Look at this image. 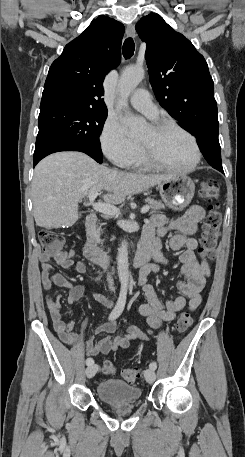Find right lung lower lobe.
Masks as SVG:
<instances>
[{
    "mask_svg": "<svg viewBox=\"0 0 245 457\" xmlns=\"http://www.w3.org/2000/svg\"><path fill=\"white\" fill-rule=\"evenodd\" d=\"M59 151H80L78 148L71 147V146H51L45 149H42L38 152H34L33 161L34 166L45 156ZM82 152V151H81Z\"/></svg>",
    "mask_w": 245,
    "mask_h": 457,
    "instance_id": "1",
    "label": "right lung lower lobe"
}]
</instances>
